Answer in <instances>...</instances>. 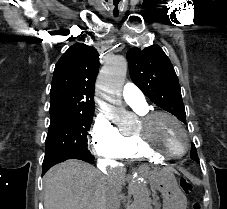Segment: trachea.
I'll return each instance as SVG.
<instances>
[{
  "instance_id": "1",
  "label": "trachea",
  "mask_w": 227,
  "mask_h": 209,
  "mask_svg": "<svg viewBox=\"0 0 227 209\" xmlns=\"http://www.w3.org/2000/svg\"><path fill=\"white\" fill-rule=\"evenodd\" d=\"M114 16H115V17H117V16H118V14H114Z\"/></svg>"
}]
</instances>
